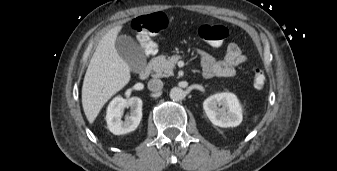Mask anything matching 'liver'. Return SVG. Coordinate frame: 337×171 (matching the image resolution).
Masks as SVG:
<instances>
[{
    "label": "liver",
    "instance_id": "1",
    "mask_svg": "<svg viewBox=\"0 0 337 171\" xmlns=\"http://www.w3.org/2000/svg\"><path fill=\"white\" fill-rule=\"evenodd\" d=\"M122 26L110 29L100 40L88 65L83 86L82 106L89 123H93L104 104L130 81V67L116 49Z\"/></svg>",
    "mask_w": 337,
    "mask_h": 171
}]
</instances>
